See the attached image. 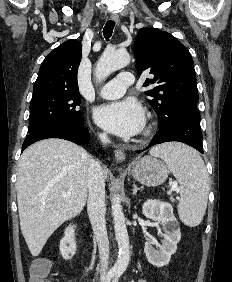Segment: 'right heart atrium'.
Wrapping results in <instances>:
<instances>
[{"label": "right heart atrium", "instance_id": "1", "mask_svg": "<svg viewBox=\"0 0 232 282\" xmlns=\"http://www.w3.org/2000/svg\"><path fill=\"white\" fill-rule=\"evenodd\" d=\"M100 137H101L102 139H106L105 134H100Z\"/></svg>", "mask_w": 232, "mask_h": 282}]
</instances>
